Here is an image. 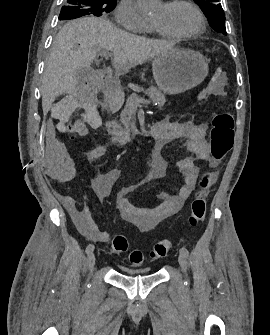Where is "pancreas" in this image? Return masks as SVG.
<instances>
[{"instance_id":"cf45deb5","label":"pancreas","mask_w":270,"mask_h":335,"mask_svg":"<svg viewBox=\"0 0 270 335\" xmlns=\"http://www.w3.org/2000/svg\"><path fill=\"white\" fill-rule=\"evenodd\" d=\"M147 94H149L153 104H158V106H164L166 100L164 94L160 92L159 88H155V86H150L147 90ZM137 104L142 102V99H139V96H136ZM134 106H125V110H123L120 116L121 124H117V122H111L112 130H110L109 134L112 136V142H125L127 136H130V124L131 118L133 114Z\"/></svg>"}]
</instances>
